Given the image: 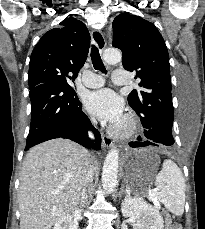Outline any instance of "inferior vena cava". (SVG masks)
Wrapping results in <instances>:
<instances>
[{"label": "inferior vena cava", "instance_id": "inferior-vena-cava-1", "mask_svg": "<svg viewBox=\"0 0 205 229\" xmlns=\"http://www.w3.org/2000/svg\"><path fill=\"white\" fill-rule=\"evenodd\" d=\"M92 122L95 124L96 123V120L95 119H92ZM88 136L93 139L94 138V135L92 132H88ZM93 178V171L92 169L90 168L88 171H87V174H86V177H85V184H87L90 180H92ZM86 198V189L85 187H83V190H82V194H81V204L84 203V200Z\"/></svg>", "mask_w": 205, "mask_h": 229}]
</instances>
